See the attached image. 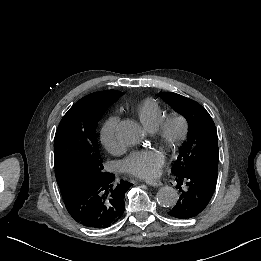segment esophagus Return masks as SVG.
<instances>
[{
    "label": "esophagus",
    "instance_id": "34e87169",
    "mask_svg": "<svg viewBox=\"0 0 261 261\" xmlns=\"http://www.w3.org/2000/svg\"><path fill=\"white\" fill-rule=\"evenodd\" d=\"M145 183L150 186H161L163 184L160 180H146Z\"/></svg>",
    "mask_w": 261,
    "mask_h": 261
}]
</instances>
